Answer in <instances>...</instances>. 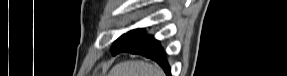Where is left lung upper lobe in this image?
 <instances>
[{"label": "left lung upper lobe", "instance_id": "left-lung-upper-lobe-1", "mask_svg": "<svg viewBox=\"0 0 287 76\" xmlns=\"http://www.w3.org/2000/svg\"><path fill=\"white\" fill-rule=\"evenodd\" d=\"M145 36L147 35L143 29H135L127 32L126 34H123L113 44L111 48L112 54L117 52L122 47H125L129 44H133L137 41L142 40Z\"/></svg>", "mask_w": 287, "mask_h": 76}]
</instances>
